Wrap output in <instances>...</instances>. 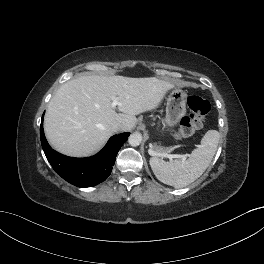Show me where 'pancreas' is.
<instances>
[{"mask_svg": "<svg viewBox=\"0 0 264 264\" xmlns=\"http://www.w3.org/2000/svg\"><path fill=\"white\" fill-rule=\"evenodd\" d=\"M154 151L157 153H165V149L160 146H154Z\"/></svg>", "mask_w": 264, "mask_h": 264, "instance_id": "cf45deb5", "label": "pancreas"}]
</instances>
